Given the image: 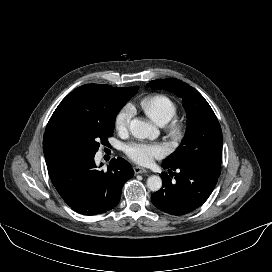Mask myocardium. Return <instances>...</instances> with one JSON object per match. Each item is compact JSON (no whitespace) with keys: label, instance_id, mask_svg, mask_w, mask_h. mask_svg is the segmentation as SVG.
Returning <instances> with one entry per match:
<instances>
[{"label":"myocardium","instance_id":"obj_1","mask_svg":"<svg viewBox=\"0 0 272 272\" xmlns=\"http://www.w3.org/2000/svg\"><path fill=\"white\" fill-rule=\"evenodd\" d=\"M165 132L167 137L171 140L179 141L184 136L185 127L181 121L172 119L167 124H165Z\"/></svg>","mask_w":272,"mask_h":272}]
</instances>
